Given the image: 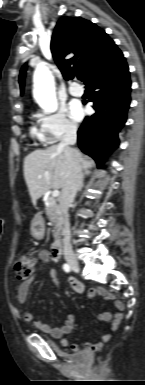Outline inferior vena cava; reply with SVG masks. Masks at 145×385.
Here are the masks:
<instances>
[{
  "label": "inferior vena cava",
  "mask_w": 145,
  "mask_h": 385,
  "mask_svg": "<svg viewBox=\"0 0 145 385\" xmlns=\"http://www.w3.org/2000/svg\"><path fill=\"white\" fill-rule=\"evenodd\" d=\"M77 140V127L69 124L66 127L65 134L59 144L60 147L68 151V176L62 187L59 197V209L63 216V253L64 256L73 255L71 245L70 223H69V206L74 201L76 193L82 178L81 166L75 149L71 148Z\"/></svg>",
  "instance_id": "602c4592"
}]
</instances>
